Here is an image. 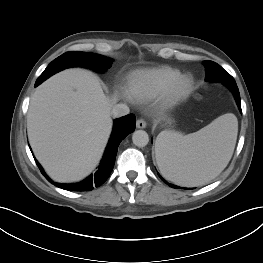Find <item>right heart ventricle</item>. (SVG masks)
I'll return each mask as SVG.
<instances>
[{
	"label": "right heart ventricle",
	"instance_id": "obj_1",
	"mask_svg": "<svg viewBox=\"0 0 263 263\" xmlns=\"http://www.w3.org/2000/svg\"><path fill=\"white\" fill-rule=\"evenodd\" d=\"M181 74L171 66L135 70L128 77L126 92L132 100L144 102L160 95Z\"/></svg>",
	"mask_w": 263,
	"mask_h": 263
}]
</instances>
